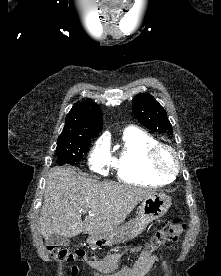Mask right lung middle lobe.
Wrapping results in <instances>:
<instances>
[{
  "mask_svg": "<svg viewBox=\"0 0 221 276\" xmlns=\"http://www.w3.org/2000/svg\"><path fill=\"white\" fill-rule=\"evenodd\" d=\"M91 144V139H74L58 141L56 157L58 165L77 164L87 152Z\"/></svg>",
  "mask_w": 221,
  "mask_h": 276,
  "instance_id": "dd1d6c3e",
  "label": "right lung middle lobe"
}]
</instances>
